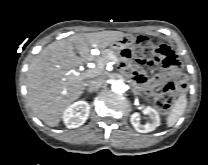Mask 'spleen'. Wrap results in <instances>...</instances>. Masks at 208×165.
Returning a JSON list of instances; mask_svg holds the SVG:
<instances>
[{"label": "spleen", "instance_id": "3e777b00", "mask_svg": "<svg viewBox=\"0 0 208 165\" xmlns=\"http://www.w3.org/2000/svg\"><path fill=\"white\" fill-rule=\"evenodd\" d=\"M187 106V98L186 95H181L175 101L168 117H167V126L172 127L183 115Z\"/></svg>", "mask_w": 208, "mask_h": 165}]
</instances>
